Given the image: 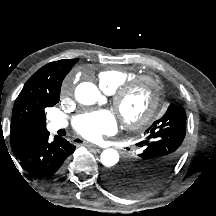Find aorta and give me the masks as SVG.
Masks as SVG:
<instances>
[{
  "label": "aorta",
  "mask_w": 216,
  "mask_h": 216,
  "mask_svg": "<svg viewBox=\"0 0 216 216\" xmlns=\"http://www.w3.org/2000/svg\"><path fill=\"white\" fill-rule=\"evenodd\" d=\"M75 98L83 105H92L101 98V94L94 84L83 82L76 87ZM119 158V153L112 148L105 149L100 156L101 163L108 168L115 166Z\"/></svg>",
  "instance_id": "aorta-1"
}]
</instances>
